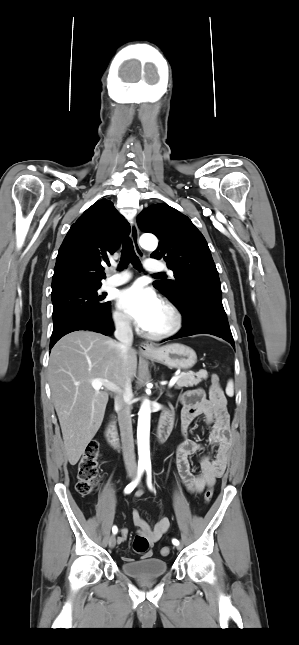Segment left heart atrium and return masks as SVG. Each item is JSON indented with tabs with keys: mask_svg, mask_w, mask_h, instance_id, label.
<instances>
[{
	"mask_svg": "<svg viewBox=\"0 0 299 645\" xmlns=\"http://www.w3.org/2000/svg\"><path fill=\"white\" fill-rule=\"evenodd\" d=\"M118 306L143 329L147 330L162 308V302L151 289L140 283L122 290L117 297Z\"/></svg>",
	"mask_w": 299,
	"mask_h": 645,
	"instance_id": "1",
	"label": "left heart atrium"
}]
</instances>
